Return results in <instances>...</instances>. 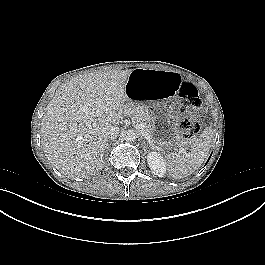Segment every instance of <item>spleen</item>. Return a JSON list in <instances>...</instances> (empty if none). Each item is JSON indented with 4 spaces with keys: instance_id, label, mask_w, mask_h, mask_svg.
Masks as SVG:
<instances>
[{
    "instance_id": "3e777b00",
    "label": "spleen",
    "mask_w": 265,
    "mask_h": 265,
    "mask_svg": "<svg viewBox=\"0 0 265 265\" xmlns=\"http://www.w3.org/2000/svg\"><path fill=\"white\" fill-rule=\"evenodd\" d=\"M212 138V131L206 129L191 145L189 152H184L183 155H167L165 161L170 175L175 179H181L198 170L209 153Z\"/></svg>"
}]
</instances>
